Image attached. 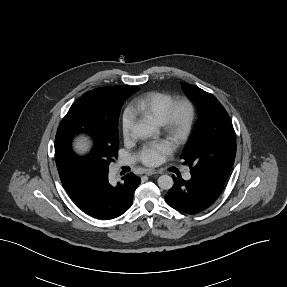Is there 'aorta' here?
<instances>
[{"label": "aorta", "mask_w": 287, "mask_h": 287, "mask_svg": "<svg viewBox=\"0 0 287 287\" xmlns=\"http://www.w3.org/2000/svg\"><path fill=\"white\" fill-rule=\"evenodd\" d=\"M155 131V128L152 125L141 122L137 123L133 128V134L137 137L147 138L150 137ZM174 182L171 176L169 175H161L158 178V186L161 189L169 190L172 188Z\"/></svg>", "instance_id": "obj_1"}]
</instances>
